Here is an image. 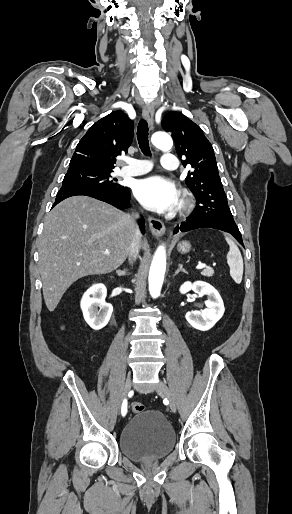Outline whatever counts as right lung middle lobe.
<instances>
[{"label":"right lung middle lobe","mask_w":292,"mask_h":514,"mask_svg":"<svg viewBox=\"0 0 292 514\" xmlns=\"http://www.w3.org/2000/svg\"><path fill=\"white\" fill-rule=\"evenodd\" d=\"M112 171L106 172H67L62 186L81 185L103 189H119L123 186L111 178Z\"/></svg>","instance_id":"right-lung-middle-lobe-1"}]
</instances>
